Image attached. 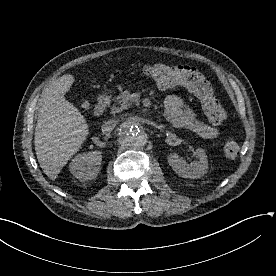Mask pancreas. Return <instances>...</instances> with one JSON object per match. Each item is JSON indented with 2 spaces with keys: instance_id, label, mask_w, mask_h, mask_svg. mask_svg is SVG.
<instances>
[{
  "instance_id": "1",
  "label": "pancreas",
  "mask_w": 276,
  "mask_h": 276,
  "mask_svg": "<svg viewBox=\"0 0 276 276\" xmlns=\"http://www.w3.org/2000/svg\"><path fill=\"white\" fill-rule=\"evenodd\" d=\"M131 93L127 90L125 91H121L119 93V95L115 98V102L119 105L117 107H113L111 113L112 114H116V113H120L123 110L127 109L131 103Z\"/></svg>"
}]
</instances>
